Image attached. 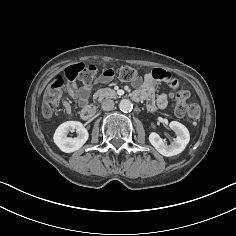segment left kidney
<instances>
[{"label": "left kidney", "mask_w": 236, "mask_h": 236, "mask_svg": "<svg viewBox=\"0 0 236 236\" xmlns=\"http://www.w3.org/2000/svg\"><path fill=\"white\" fill-rule=\"evenodd\" d=\"M171 130L177 135L174 141L169 145L155 132L149 136L150 143L163 156L170 157L181 153L190 141V134L188 129L177 121H172L169 124Z\"/></svg>", "instance_id": "5707ae66"}]
</instances>
